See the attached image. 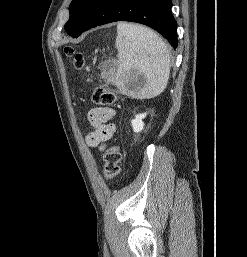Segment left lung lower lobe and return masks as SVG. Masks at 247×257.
<instances>
[{"label": "left lung lower lobe", "instance_id": "obj_1", "mask_svg": "<svg viewBox=\"0 0 247 257\" xmlns=\"http://www.w3.org/2000/svg\"><path fill=\"white\" fill-rule=\"evenodd\" d=\"M171 0H97L79 30L78 37L93 27L115 21L147 25L177 47V23L171 13Z\"/></svg>", "mask_w": 247, "mask_h": 257}]
</instances>
